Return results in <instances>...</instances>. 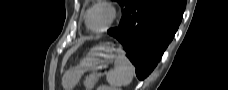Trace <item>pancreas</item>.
I'll return each instance as SVG.
<instances>
[{
	"instance_id": "pancreas-1",
	"label": "pancreas",
	"mask_w": 228,
	"mask_h": 90,
	"mask_svg": "<svg viewBox=\"0 0 228 90\" xmlns=\"http://www.w3.org/2000/svg\"><path fill=\"white\" fill-rule=\"evenodd\" d=\"M99 76L92 75L87 80H85L84 85L88 90H91L94 84L98 81Z\"/></svg>"
}]
</instances>
